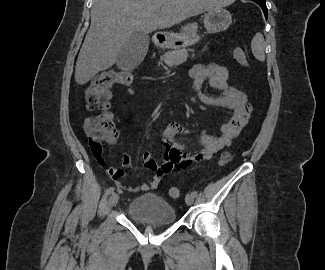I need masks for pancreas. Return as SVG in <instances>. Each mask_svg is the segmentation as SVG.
I'll use <instances>...</instances> for the list:
<instances>
[{
    "label": "pancreas",
    "mask_w": 325,
    "mask_h": 270,
    "mask_svg": "<svg viewBox=\"0 0 325 270\" xmlns=\"http://www.w3.org/2000/svg\"><path fill=\"white\" fill-rule=\"evenodd\" d=\"M193 51V50H189ZM188 50L183 49H175L173 51H168L162 57L164 63L168 66H177L187 60Z\"/></svg>",
    "instance_id": "pancreas-1"
}]
</instances>
